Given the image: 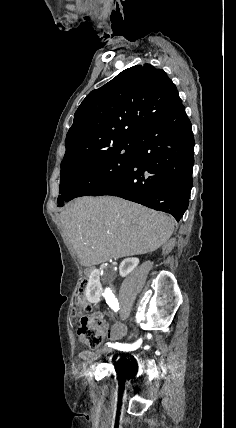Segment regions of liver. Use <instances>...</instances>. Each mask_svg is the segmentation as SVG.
<instances>
[{"mask_svg": "<svg viewBox=\"0 0 236 428\" xmlns=\"http://www.w3.org/2000/svg\"><path fill=\"white\" fill-rule=\"evenodd\" d=\"M60 218L65 236L83 266L150 254L173 232L169 216L113 196L76 198Z\"/></svg>", "mask_w": 236, "mask_h": 428, "instance_id": "liver-1", "label": "liver"}]
</instances>
